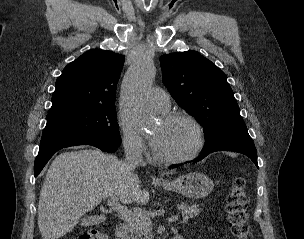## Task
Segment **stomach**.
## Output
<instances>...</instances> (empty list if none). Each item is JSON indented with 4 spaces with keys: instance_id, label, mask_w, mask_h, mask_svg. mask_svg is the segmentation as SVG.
<instances>
[{
    "instance_id": "obj_1",
    "label": "stomach",
    "mask_w": 304,
    "mask_h": 239,
    "mask_svg": "<svg viewBox=\"0 0 304 239\" xmlns=\"http://www.w3.org/2000/svg\"><path fill=\"white\" fill-rule=\"evenodd\" d=\"M162 185L165 190L176 191L192 199L204 198L214 188L213 181L207 175L199 172L187 173Z\"/></svg>"
}]
</instances>
